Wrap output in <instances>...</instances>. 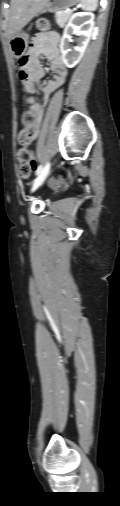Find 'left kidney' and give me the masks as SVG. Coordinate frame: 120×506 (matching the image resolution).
<instances>
[{
  "label": "left kidney",
  "mask_w": 120,
  "mask_h": 506,
  "mask_svg": "<svg viewBox=\"0 0 120 506\" xmlns=\"http://www.w3.org/2000/svg\"><path fill=\"white\" fill-rule=\"evenodd\" d=\"M93 29L94 17L92 14L78 12L71 16L60 41L62 60L67 67L72 68L79 63L92 37ZM74 32L79 36V40L74 51L70 53L69 42H71V35Z\"/></svg>",
  "instance_id": "left-kidney-1"
}]
</instances>
